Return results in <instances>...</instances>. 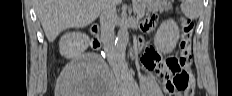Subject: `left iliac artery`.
Instances as JSON below:
<instances>
[{
	"label": "left iliac artery",
	"mask_w": 232,
	"mask_h": 96,
	"mask_svg": "<svg viewBox=\"0 0 232 96\" xmlns=\"http://www.w3.org/2000/svg\"><path fill=\"white\" fill-rule=\"evenodd\" d=\"M131 87H132V89H131L132 94L135 96H139L140 90H139L138 86L133 84V85H131Z\"/></svg>",
	"instance_id": "44dca946"
}]
</instances>
